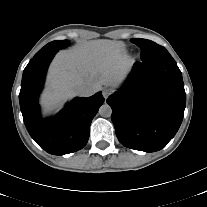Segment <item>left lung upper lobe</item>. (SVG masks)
Segmentation results:
<instances>
[{
	"mask_svg": "<svg viewBox=\"0 0 207 207\" xmlns=\"http://www.w3.org/2000/svg\"><path fill=\"white\" fill-rule=\"evenodd\" d=\"M131 42L135 43L142 49V61H154L171 57L169 52L163 46H160L153 41L138 38L131 39Z\"/></svg>",
	"mask_w": 207,
	"mask_h": 207,
	"instance_id": "left-lung-upper-lobe-1",
	"label": "left lung upper lobe"
}]
</instances>
